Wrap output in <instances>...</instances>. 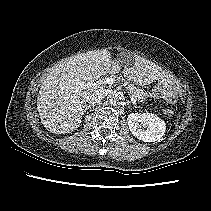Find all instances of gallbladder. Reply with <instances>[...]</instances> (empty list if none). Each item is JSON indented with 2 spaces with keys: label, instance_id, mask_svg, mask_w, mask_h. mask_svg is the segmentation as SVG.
I'll use <instances>...</instances> for the list:
<instances>
[{
  "label": "gallbladder",
  "instance_id": "gallbladder-1",
  "mask_svg": "<svg viewBox=\"0 0 211 211\" xmlns=\"http://www.w3.org/2000/svg\"><path fill=\"white\" fill-rule=\"evenodd\" d=\"M123 56H127V53L125 52V53L123 54ZM131 57H132V55H131Z\"/></svg>",
  "mask_w": 211,
  "mask_h": 211
}]
</instances>
